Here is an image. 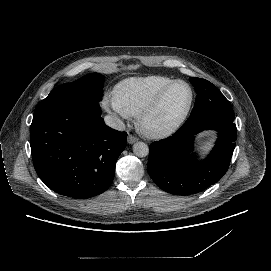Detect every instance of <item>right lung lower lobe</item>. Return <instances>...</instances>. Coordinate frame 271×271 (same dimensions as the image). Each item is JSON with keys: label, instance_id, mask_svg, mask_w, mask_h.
Returning a JSON list of instances; mask_svg holds the SVG:
<instances>
[{"label": "right lung lower lobe", "instance_id": "1", "mask_svg": "<svg viewBox=\"0 0 271 271\" xmlns=\"http://www.w3.org/2000/svg\"><path fill=\"white\" fill-rule=\"evenodd\" d=\"M126 138V132L106 126L94 107L47 110L35 115L30 127L38 176L56 193L77 199L110 187Z\"/></svg>", "mask_w": 271, "mask_h": 271}]
</instances>
